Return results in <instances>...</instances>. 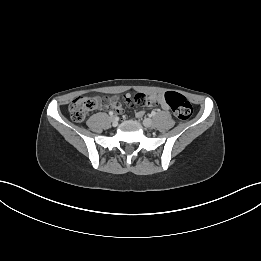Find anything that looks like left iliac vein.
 I'll return each mask as SVG.
<instances>
[{"label": "left iliac vein", "mask_w": 261, "mask_h": 261, "mask_svg": "<svg viewBox=\"0 0 261 261\" xmlns=\"http://www.w3.org/2000/svg\"><path fill=\"white\" fill-rule=\"evenodd\" d=\"M143 125L145 126V127H152L153 126V121H152V119H150V118H145L144 120H143Z\"/></svg>", "instance_id": "obj_1"}]
</instances>
